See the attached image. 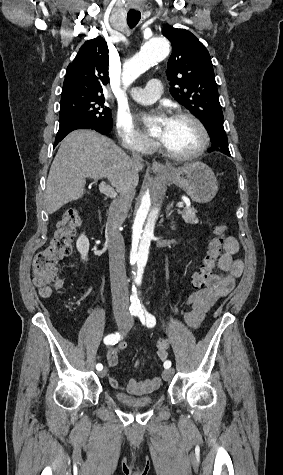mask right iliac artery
Segmentation results:
<instances>
[{"label": "right iliac artery", "instance_id": "obj_1", "mask_svg": "<svg viewBox=\"0 0 283 475\" xmlns=\"http://www.w3.org/2000/svg\"><path fill=\"white\" fill-rule=\"evenodd\" d=\"M122 338V334L121 333H115V334H110L108 336H106L104 338V343L106 345H115L116 343H118V341ZM96 369L98 371H101L103 369V365L102 364H97L96 365Z\"/></svg>", "mask_w": 283, "mask_h": 475}]
</instances>
